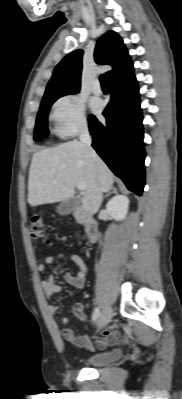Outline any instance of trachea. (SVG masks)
I'll list each match as a JSON object with an SVG mask.
<instances>
[{"label":"trachea","mask_w":182,"mask_h":399,"mask_svg":"<svg viewBox=\"0 0 182 399\" xmlns=\"http://www.w3.org/2000/svg\"><path fill=\"white\" fill-rule=\"evenodd\" d=\"M100 82L103 88H108L109 87V79L108 76L103 74L100 76Z\"/></svg>","instance_id":"1"}]
</instances>
